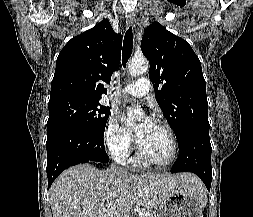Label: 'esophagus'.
Wrapping results in <instances>:
<instances>
[{
	"label": "esophagus",
	"mask_w": 253,
	"mask_h": 217,
	"mask_svg": "<svg viewBox=\"0 0 253 217\" xmlns=\"http://www.w3.org/2000/svg\"><path fill=\"white\" fill-rule=\"evenodd\" d=\"M126 23L127 25H134L135 23V14L133 12H130L126 16Z\"/></svg>",
	"instance_id": "34e87169"
}]
</instances>
